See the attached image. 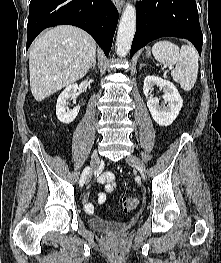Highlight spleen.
<instances>
[{"mask_svg":"<svg viewBox=\"0 0 221 263\" xmlns=\"http://www.w3.org/2000/svg\"><path fill=\"white\" fill-rule=\"evenodd\" d=\"M153 56L157 61L171 68L173 80L185 91H190L198 74V53L192 45H178L167 41H159L152 47ZM175 65V68H174Z\"/></svg>","mask_w":221,"mask_h":263,"instance_id":"obj_1","label":"spleen"}]
</instances>
